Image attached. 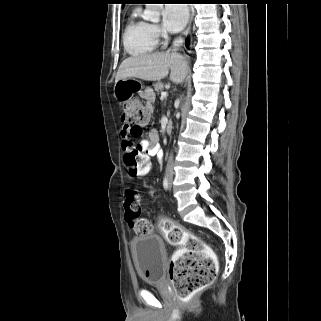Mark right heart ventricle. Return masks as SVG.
Listing matches in <instances>:
<instances>
[{"label": "right heart ventricle", "instance_id": "e07e8e85", "mask_svg": "<svg viewBox=\"0 0 321 321\" xmlns=\"http://www.w3.org/2000/svg\"><path fill=\"white\" fill-rule=\"evenodd\" d=\"M123 45L132 56L153 52L158 45V37L151 29V24L139 16V9H134L129 16L123 32Z\"/></svg>", "mask_w": 321, "mask_h": 321}]
</instances>
